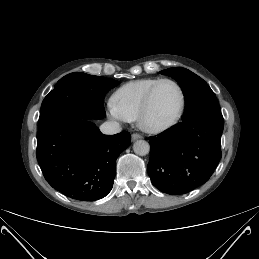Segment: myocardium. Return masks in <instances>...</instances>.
<instances>
[{
    "label": "myocardium",
    "mask_w": 259,
    "mask_h": 259,
    "mask_svg": "<svg viewBox=\"0 0 259 259\" xmlns=\"http://www.w3.org/2000/svg\"><path fill=\"white\" fill-rule=\"evenodd\" d=\"M165 82L173 84L178 90L179 97H180L178 111L176 115L167 123L162 125H150L147 122V116L151 108L154 92L160 84ZM184 110H185V94L181 85L174 79L161 78L157 82H155L146 93L142 107L139 112V116L137 118V122L139 127L145 132L151 133V134H160L174 127L182 118Z\"/></svg>",
    "instance_id": "obj_1"
}]
</instances>
